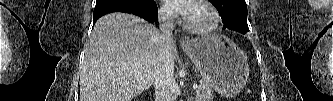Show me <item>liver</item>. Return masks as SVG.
Segmentation results:
<instances>
[{"instance_id": "6515ba94", "label": "liver", "mask_w": 333, "mask_h": 101, "mask_svg": "<svg viewBox=\"0 0 333 101\" xmlns=\"http://www.w3.org/2000/svg\"><path fill=\"white\" fill-rule=\"evenodd\" d=\"M160 32L135 15L111 13L95 24L80 71V101H132L154 82ZM177 51L172 49L173 60Z\"/></svg>"}]
</instances>
